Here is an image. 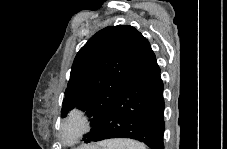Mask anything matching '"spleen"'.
I'll use <instances>...</instances> for the list:
<instances>
[{
    "label": "spleen",
    "mask_w": 227,
    "mask_h": 149,
    "mask_svg": "<svg viewBox=\"0 0 227 149\" xmlns=\"http://www.w3.org/2000/svg\"><path fill=\"white\" fill-rule=\"evenodd\" d=\"M104 149H145V146L137 141L130 139H113L99 144Z\"/></svg>",
    "instance_id": "spleen-1"
}]
</instances>
